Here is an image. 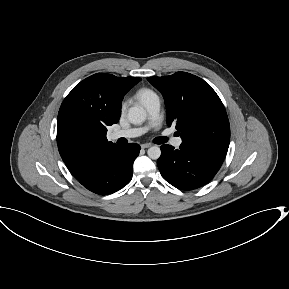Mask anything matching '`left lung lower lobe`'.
<instances>
[{
	"mask_svg": "<svg viewBox=\"0 0 289 289\" xmlns=\"http://www.w3.org/2000/svg\"><path fill=\"white\" fill-rule=\"evenodd\" d=\"M162 154L157 165L163 178L181 190H193L208 183L220 169L224 157L181 144L161 146Z\"/></svg>",
	"mask_w": 289,
	"mask_h": 289,
	"instance_id": "1",
	"label": "left lung lower lobe"
}]
</instances>
